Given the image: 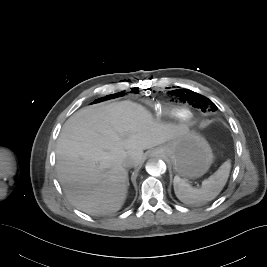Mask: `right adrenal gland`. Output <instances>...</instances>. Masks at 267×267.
I'll return each mask as SVG.
<instances>
[{"mask_svg": "<svg viewBox=\"0 0 267 267\" xmlns=\"http://www.w3.org/2000/svg\"><path fill=\"white\" fill-rule=\"evenodd\" d=\"M129 185H130V184H129V179H127V187H129Z\"/></svg>", "mask_w": 267, "mask_h": 267, "instance_id": "1", "label": "right adrenal gland"}]
</instances>
